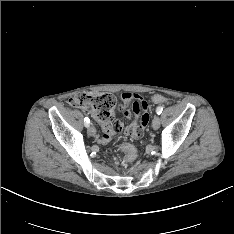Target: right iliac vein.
Here are the masks:
<instances>
[{"instance_id": "right-iliac-vein-1", "label": "right iliac vein", "mask_w": 234, "mask_h": 234, "mask_svg": "<svg viewBox=\"0 0 234 234\" xmlns=\"http://www.w3.org/2000/svg\"><path fill=\"white\" fill-rule=\"evenodd\" d=\"M88 134L91 135V136H94L96 134V129L94 126H88Z\"/></svg>"}]
</instances>
